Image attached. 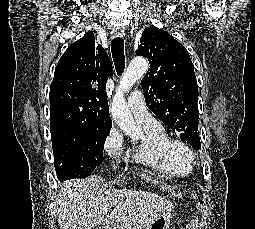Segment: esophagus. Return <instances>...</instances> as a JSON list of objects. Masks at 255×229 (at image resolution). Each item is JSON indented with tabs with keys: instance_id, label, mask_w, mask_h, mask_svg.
Wrapping results in <instances>:
<instances>
[{
	"instance_id": "obj_1",
	"label": "esophagus",
	"mask_w": 255,
	"mask_h": 229,
	"mask_svg": "<svg viewBox=\"0 0 255 229\" xmlns=\"http://www.w3.org/2000/svg\"><path fill=\"white\" fill-rule=\"evenodd\" d=\"M116 36L124 38L125 37V31L123 28L118 29V31L116 32Z\"/></svg>"
}]
</instances>
